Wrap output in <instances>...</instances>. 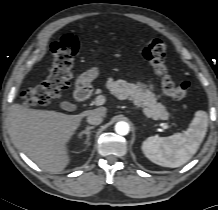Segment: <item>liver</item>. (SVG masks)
Segmentation results:
<instances>
[{
	"instance_id": "liver-1",
	"label": "liver",
	"mask_w": 218,
	"mask_h": 210,
	"mask_svg": "<svg viewBox=\"0 0 218 210\" xmlns=\"http://www.w3.org/2000/svg\"><path fill=\"white\" fill-rule=\"evenodd\" d=\"M106 110L99 107L78 115H67L15 104L10 120L14 137L23 152L43 170L59 173L70 162L67 144L79 128L82 118L91 112L105 116Z\"/></svg>"
}]
</instances>
